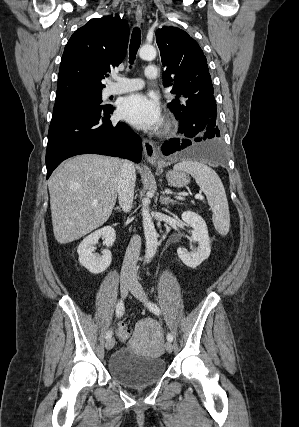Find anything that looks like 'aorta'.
Returning a JSON list of instances; mask_svg holds the SVG:
<instances>
[{
  "label": "aorta",
  "mask_w": 299,
  "mask_h": 427,
  "mask_svg": "<svg viewBox=\"0 0 299 427\" xmlns=\"http://www.w3.org/2000/svg\"><path fill=\"white\" fill-rule=\"evenodd\" d=\"M139 56L143 60H153L156 57V49L152 45H143L139 50ZM142 223L146 240L145 260L148 262L158 248V234L150 215L148 199L142 200Z\"/></svg>",
  "instance_id": "aorta-1"
}]
</instances>
